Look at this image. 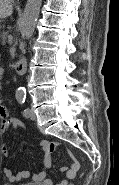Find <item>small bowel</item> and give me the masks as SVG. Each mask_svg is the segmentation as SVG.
Wrapping results in <instances>:
<instances>
[{"instance_id": "obj_1", "label": "small bowel", "mask_w": 119, "mask_h": 185, "mask_svg": "<svg viewBox=\"0 0 119 185\" xmlns=\"http://www.w3.org/2000/svg\"><path fill=\"white\" fill-rule=\"evenodd\" d=\"M2 73L3 71L1 70L0 74L2 75ZM0 117H1V133L3 135L7 134L11 128L16 129L18 127L24 126L20 120L8 117L7 109L2 103L0 104ZM38 144L43 149L44 168L39 173L33 175L32 179L35 182H43L44 183L43 185H53L51 180L46 179L47 169L51 165V156L53 151L55 150L56 147L60 146V144L48 141L46 139H39ZM2 154L6 158L10 154L9 149L5 143L2 145ZM69 155L71 157L70 165L62 166L60 168V170L65 173L66 179H64L61 183L57 185H68V180L74 179L77 175V172L80 169V164L78 160L73 156L71 152H69ZM3 173L6 176V178L11 182H17L30 176V173L28 171L14 173L8 167L3 168Z\"/></svg>"}]
</instances>
